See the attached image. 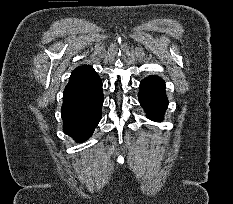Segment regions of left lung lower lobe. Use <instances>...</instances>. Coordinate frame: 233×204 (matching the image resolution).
Segmentation results:
<instances>
[{"label":"left lung lower lobe","instance_id":"1","mask_svg":"<svg viewBox=\"0 0 233 204\" xmlns=\"http://www.w3.org/2000/svg\"><path fill=\"white\" fill-rule=\"evenodd\" d=\"M138 98L149 119L160 121L168 106L165 83L158 76H149L141 81Z\"/></svg>","mask_w":233,"mask_h":204}]
</instances>
